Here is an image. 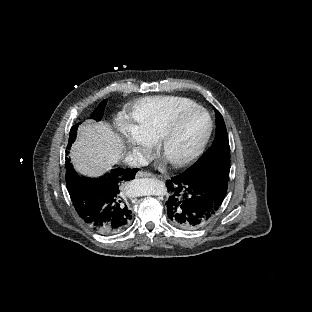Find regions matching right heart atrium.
Wrapping results in <instances>:
<instances>
[{
  "mask_svg": "<svg viewBox=\"0 0 312 312\" xmlns=\"http://www.w3.org/2000/svg\"><path fill=\"white\" fill-rule=\"evenodd\" d=\"M122 140L125 147L130 152H138L143 147V140L139 137V133L134 128H127L122 133Z\"/></svg>",
  "mask_w": 312,
  "mask_h": 312,
  "instance_id": "d8ad5b80",
  "label": "right heart atrium"
}]
</instances>
